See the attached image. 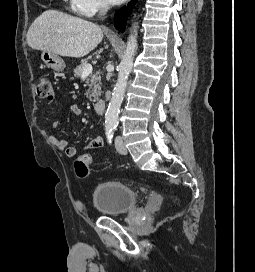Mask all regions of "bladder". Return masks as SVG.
Instances as JSON below:
<instances>
[{
    "instance_id": "1",
    "label": "bladder",
    "mask_w": 255,
    "mask_h": 272,
    "mask_svg": "<svg viewBox=\"0 0 255 272\" xmlns=\"http://www.w3.org/2000/svg\"><path fill=\"white\" fill-rule=\"evenodd\" d=\"M92 203L103 216H120L136 207L137 195L122 182L109 181L95 186Z\"/></svg>"
}]
</instances>
